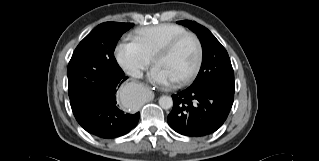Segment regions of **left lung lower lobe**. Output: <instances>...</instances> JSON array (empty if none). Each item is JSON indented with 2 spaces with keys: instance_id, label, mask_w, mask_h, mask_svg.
I'll list each match as a JSON object with an SVG mask.
<instances>
[{
  "instance_id": "0a47b994",
  "label": "left lung lower lobe",
  "mask_w": 319,
  "mask_h": 161,
  "mask_svg": "<svg viewBox=\"0 0 319 161\" xmlns=\"http://www.w3.org/2000/svg\"><path fill=\"white\" fill-rule=\"evenodd\" d=\"M173 109L169 126L176 132L200 137L215 132L225 122L234 100V93L207 87L189 86L172 95Z\"/></svg>"
}]
</instances>
